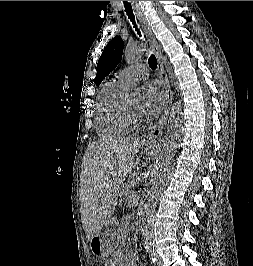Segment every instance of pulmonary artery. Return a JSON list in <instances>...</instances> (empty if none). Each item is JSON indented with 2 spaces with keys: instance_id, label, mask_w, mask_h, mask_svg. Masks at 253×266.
<instances>
[{
  "instance_id": "1",
  "label": "pulmonary artery",
  "mask_w": 253,
  "mask_h": 266,
  "mask_svg": "<svg viewBox=\"0 0 253 266\" xmlns=\"http://www.w3.org/2000/svg\"><path fill=\"white\" fill-rule=\"evenodd\" d=\"M148 76V68L143 64L137 63L120 70L116 76V79L126 84L133 80L146 79Z\"/></svg>"
}]
</instances>
